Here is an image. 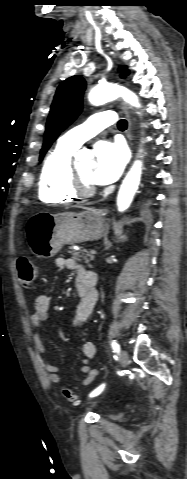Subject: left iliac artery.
Masks as SVG:
<instances>
[{"label": "left iliac artery", "mask_w": 187, "mask_h": 479, "mask_svg": "<svg viewBox=\"0 0 187 479\" xmlns=\"http://www.w3.org/2000/svg\"><path fill=\"white\" fill-rule=\"evenodd\" d=\"M111 345H112L113 352L115 354H119L120 345L115 340L112 341ZM114 358H117V356H114ZM104 387H105V384H101L98 388H96L94 391L90 393L89 397H95L99 395L103 391Z\"/></svg>", "instance_id": "44dca946"}]
</instances>
